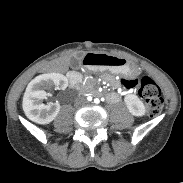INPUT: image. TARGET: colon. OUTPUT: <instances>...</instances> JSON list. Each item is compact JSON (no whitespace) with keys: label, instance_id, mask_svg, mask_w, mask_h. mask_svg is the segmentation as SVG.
I'll return each mask as SVG.
<instances>
[{"label":"colon","instance_id":"obj_1","mask_svg":"<svg viewBox=\"0 0 183 183\" xmlns=\"http://www.w3.org/2000/svg\"><path fill=\"white\" fill-rule=\"evenodd\" d=\"M87 64L97 67L117 66L121 65L122 61L106 55H92L87 59ZM121 86L126 89L138 87L139 95L146 104L148 115L150 117L159 115L164 105V99L160 87L151 77L124 78L121 80Z\"/></svg>","mask_w":183,"mask_h":183}]
</instances>
